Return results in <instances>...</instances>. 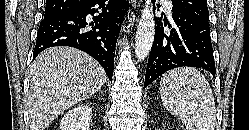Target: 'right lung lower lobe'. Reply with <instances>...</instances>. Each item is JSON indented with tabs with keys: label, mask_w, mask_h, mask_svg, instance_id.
<instances>
[{
	"label": "right lung lower lobe",
	"mask_w": 249,
	"mask_h": 130,
	"mask_svg": "<svg viewBox=\"0 0 249 130\" xmlns=\"http://www.w3.org/2000/svg\"><path fill=\"white\" fill-rule=\"evenodd\" d=\"M128 5L125 0H84L71 11L44 18L39 26L34 58L49 47H75L96 59L112 82L116 41ZM98 11L93 21L86 19L88 14Z\"/></svg>",
	"instance_id": "obj_1"
}]
</instances>
